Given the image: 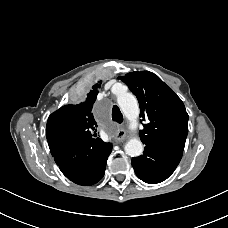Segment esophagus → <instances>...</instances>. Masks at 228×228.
Segmentation results:
<instances>
[{
    "label": "esophagus",
    "mask_w": 228,
    "mask_h": 228,
    "mask_svg": "<svg viewBox=\"0 0 228 228\" xmlns=\"http://www.w3.org/2000/svg\"><path fill=\"white\" fill-rule=\"evenodd\" d=\"M125 138H126V131L124 128H120L117 134L115 135V139L118 142H122L125 140Z\"/></svg>",
    "instance_id": "1"
}]
</instances>
